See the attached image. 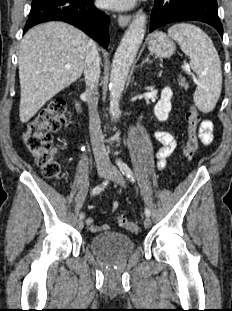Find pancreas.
Returning a JSON list of instances; mask_svg holds the SVG:
<instances>
[{"mask_svg": "<svg viewBox=\"0 0 232 311\" xmlns=\"http://www.w3.org/2000/svg\"><path fill=\"white\" fill-rule=\"evenodd\" d=\"M179 84L182 88H187V85L185 84L183 79L180 80Z\"/></svg>", "mask_w": 232, "mask_h": 311, "instance_id": "1", "label": "pancreas"}]
</instances>
